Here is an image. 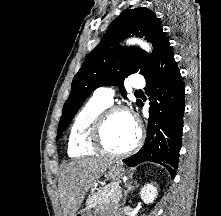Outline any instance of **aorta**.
Masks as SVG:
<instances>
[{"instance_id": "aorta-1", "label": "aorta", "mask_w": 221, "mask_h": 216, "mask_svg": "<svg viewBox=\"0 0 221 216\" xmlns=\"http://www.w3.org/2000/svg\"><path fill=\"white\" fill-rule=\"evenodd\" d=\"M127 44H128V45L137 44V45H139L141 48H143L144 50H146V51H148V52L151 51L150 45H149L148 43H146V42L140 40V39H136V38L129 39V40L127 41Z\"/></svg>"}]
</instances>
